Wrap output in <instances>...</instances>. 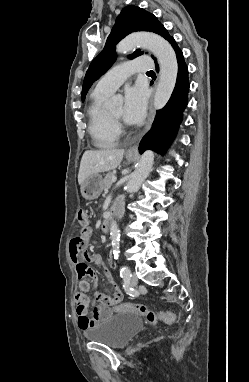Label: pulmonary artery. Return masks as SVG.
<instances>
[{
    "instance_id": "e3ab8cb5",
    "label": "pulmonary artery",
    "mask_w": 249,
    "mask_h": 382,
    "mask_svg": "<svg viewBox=\"0 0 249 382\" xmlns=\"http://www.w3.org/2000/svg\"><path fill=\"white\" fill-rule=\"evenodd\" d=\"M151 68V60L147 57L119 63L99 80L95 89L112 94L132 73L150 70Z\"/></svg>"
}]
</instances>
